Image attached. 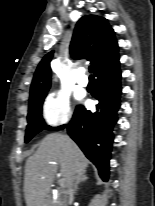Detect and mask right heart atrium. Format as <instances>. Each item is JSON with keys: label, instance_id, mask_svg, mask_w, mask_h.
Returning a JSON list of instances; mask_svg holds the SVG:
<instances>
[{"label": "right heart atrium", "instance_id": "1", "mask_svg": "<svg viewBox=\"0 0 155 206\" xmlns=\"http://www.w3.org/2000/svg\"><path fill=\"white\" fill-rule=\"evenodd\" d=\"M42 117L50 126L67 122L71 117L68 94L62 90L50 93L43 103Z\"/></svg>", "mask_w": 155, "mask_h": 206}]
</instances>
